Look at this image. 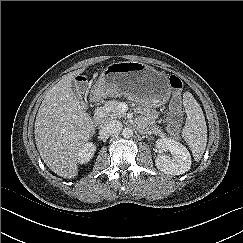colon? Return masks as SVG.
I'll return each mask as SVG.
<instances>
[{
    "mask_svg": "<svg viewBox=\"0 0 243 243\" xmlns=\"http://www.w3.org/2000/svg\"><path fill=\"white\" fill-rule=\"evenodd\" d=\"M169 84L174 92V96L171 100L170 110L167 116V129L171 135L177 136L180 133L181 124L183 121L180 98L183 82L179 77L171 76L169 79Z\"/></svg>",
    "mask_w": 243,
    "mask_h": 243,
    "instance_id": "1",
    "label": "colon"
}]
</instances>
